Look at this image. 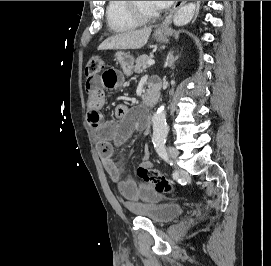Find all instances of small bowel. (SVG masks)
Returning a JSON list of instances; mask_svg holds the SVG:
<instances>
[{"label":"small bowel","mask_w":271,"mask_h":266,"mask_svg":"<svg viewBox=\"0 0 271 266\" xmlns=\"http://www.w3.org/2000/svg\"><path fill=\"white\" fill-rule=\"evenodd\" d=\"M124 80L121 69L117 66H104L100 74L88 76L86 91L88 94L86 116L89 126L93 129L98 140L102 155L103 166L111 181L116 184L118 191L126 200L129 207L139 206L138 202L155 203L162 195L152 186L137 184L132 179L123 180L117 163L113 159L115 145L128 139L130 134L145 127L139 108L130 109L120 104L115 108V116L119 122L105 121L101 109L104 105V90L118 89ZM143 166L152 167L144 161Z\"/></svg>","instance_id":"obj_1"}]
</instances>
